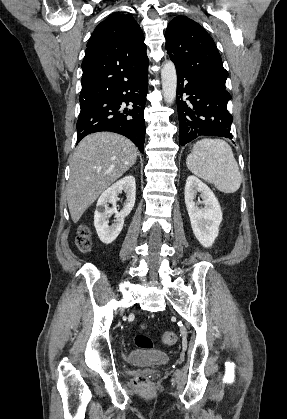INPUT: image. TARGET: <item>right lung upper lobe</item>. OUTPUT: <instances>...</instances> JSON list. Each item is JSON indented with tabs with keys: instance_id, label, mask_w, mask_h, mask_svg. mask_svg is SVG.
Segmentation results:
<instances>
[{
	"instance_id": "1",
	"label": "right lung upper lobe",
	"mask_w": 287,
	"mask_h": 419,
	"mask_svg": "<svg viewBox=\"0 0 287 419\" xmlns=\"http://www.w3.org/2000/svg\"><path fill=\"white\" fill-rule=\"evenodd\" d=\"M144 35L131 14L115 12L98 24L82 62L80 106L131 83L148 70Z\"/></svg>"
}]
</instances>
